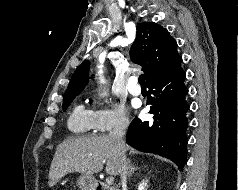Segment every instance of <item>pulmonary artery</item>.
<instances>
[{
  "instance_id": "e3ab8cb5",
  "label": "pulmonary artery",
  "mask_w": 238,
  "mask_h": 190,
  "mask_svg": "<svg viewBox=\"0 0 238 190\" xmlns=\"http://www.w3.org/2000/svg\"><path fill=\"white\" fill-rule=\"evenodd\" d=\"M128 92L134 96H138L141 93V88L137 84V78L131 77L127 85Z\"/></svg>"
}]
</instances>
